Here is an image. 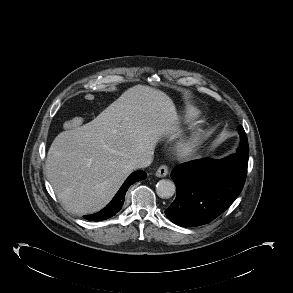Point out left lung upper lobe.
<instances>
[{"mask_svg": "<svg viewBox=\"0 0 293 293\" xmlns=\"http://www.w3.org/2000/svg\"><path fill=\"white\" fill-rule=\"evenodd\" d=\"M244 131L243 127H240L239 133H242Z\"/></svg>", "mask_w": 293, "mask_h": 293, "instance_id": "obj_1", "label": "left lung upper lobe"}]
</instances>
